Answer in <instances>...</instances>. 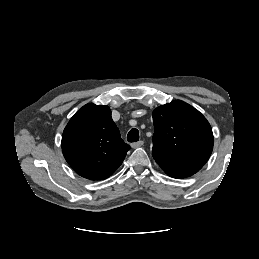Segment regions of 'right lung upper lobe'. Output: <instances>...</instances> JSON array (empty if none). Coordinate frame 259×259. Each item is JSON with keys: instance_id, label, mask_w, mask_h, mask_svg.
I'll list each match as a JSON object with an SVG mask.
<instances>
[{"instance_id": "right-lung-upper-lobe-1", "label": "right lung upper lobe", "mask_w": 259, "mask_h": 259, "mask_svg": "<svg viewBox=\"0 0 259 259\" xmlns=\"http://www.w3.org/2000/svg\"><path fill=\"white\" fill-rule=\"evenodd\" d=\"M130 146L120 136L108 106L88 103L68 122L62 135V152L72 169L90 180L112 175Z\"/></svg>"}]
</instances>
